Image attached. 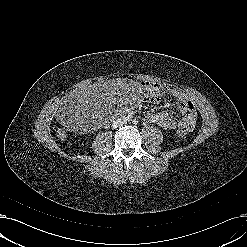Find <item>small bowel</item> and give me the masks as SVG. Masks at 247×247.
<instances>
[{
    "label": "small bowel",
    "mask_w": 247,
    "mask_h": 247,
    "mask_svg": "<svg viewBox=\"0 0 247 247\" xmlns=\"http://www.w3.org/2000/svg\"><path fill=\"white\" fill-rule=\"evenodd\" d=\"M148 84V83H144ZM158 87L160 96L167 94L173 97L178 103V109L182 114V119L173 118L168 112H151L147 114V119L154 124L166 129L186 128L188 132L193 130L196 124V113L193 102L176 86L166 83H150ZM158 99V98H157ZM156 100V99H155ZM154 101V100H151Z\"/></svg>",
    "instance_id": "small-bowel-1"
}]
</instances>
